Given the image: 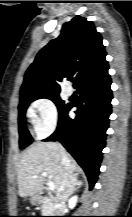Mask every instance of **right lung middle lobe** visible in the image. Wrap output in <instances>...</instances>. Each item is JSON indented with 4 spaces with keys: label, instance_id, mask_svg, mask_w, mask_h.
<instances>
[{
    "label": "right lung middle lobe",
    "instance_id": "obj_1",
    "mask_svg": "<svg viewBox=\"0 0 132 217\" xmlns=\"http://www.w3.org/2000/svg\"><path fill=\"white\" fill-rule=\"evenodd\" d=\"M40 98H47L52 100L59 111V114L67 107L68 104H65L63 100L59 97V94H51V95H43V96H29V97H23L20 98V103H19V117H18V123H19V146L21 149L26 148L29 146L33 139L31 135L29 134L28 130L26 129V124H25V112L28 107V105L33 102L36 99Z\"/></svg>",
    "mask_w": 132,
    "mask_h": 217
}]
</instances>
